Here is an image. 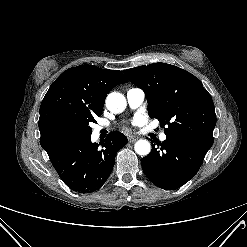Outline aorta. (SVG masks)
Returning a JSON list of instances; mask_svg holds the SVG:
<instances>
[{
	"instance_id": "obj_1",
	"label": "aorta",
	"mask_w": 247,
	"mask_h": 247,
	"mask_svg": "<svg viewBox=\"0 0 247 247\" xmlns=\"http://www.w3.org/2000/svg\"><path fill=\"white\" fill-rule=\"evenodd\" d=\"M126 98L119 92H112L106 98V106L112 113L118 114L125 110ZM135 152L141 156H146L151 151V146L147 140H138L134 146Z\"/></svg>"
}]
</instances>
